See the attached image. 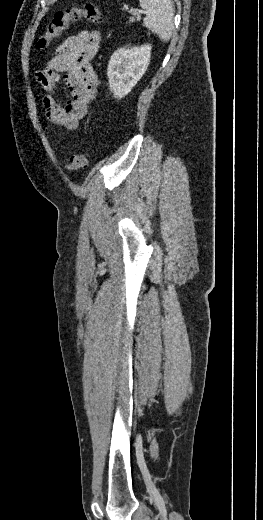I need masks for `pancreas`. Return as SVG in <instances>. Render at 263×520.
<instances>
[{"label":"pancreas","mask_w":263,"mask_h":520,"mask_svg":"<svg viewBox=\"0 0 263 520\" xmlns=\"http://www.w3.org/2000/svg\"><path fill=\"white\" fill-rule=\"evenodd\" d=\"M130 13L133 14V17H130L129 23L141 20L140 14H139V12L137 10L131 9Z\"/></svg>","instance_id":"cf45deb5"}]
</instances>
